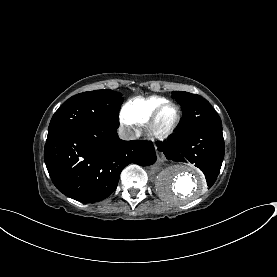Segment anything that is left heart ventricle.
Returning a JSON list of instances; mask_svg holds the SVG:
<instances>
[{"label": "left heart ventricle", "instance_id": "1", "mask_svg": "<svg viewBox=\"0 0 277 277\" xmlns=\"http://www.w3.org/2000/svg\"><path fill=\"white\" fill-rule=\"evenodd\" d=\"M176 119V108L174 106H168L165 108L159 117L157 128L161 131H165L171 127Z\"/></svg>", "mask_w": 277, "mask_h": 277}]
</instances>
